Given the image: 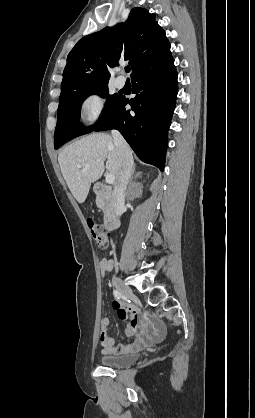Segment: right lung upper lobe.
<instances>
[{"mask_svg":"<svg viewBox=\"0 0 255 418\" xmlns=\"http://www.w3.org/2000/svg\"><path fill=\"white\" fill-rule=\"evenodd\" d=\"M170 56V43L155 15L133 8L126 22L77 42L67 57L61 93L108 82V67L116 66L120 58L129 61L132 78Z\"/></svg>","mask_w":255,"mask_h":418,"instance_id":"1","label":"right lung upper lobe"}]
</instances>
